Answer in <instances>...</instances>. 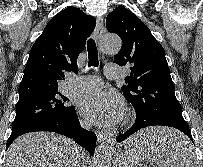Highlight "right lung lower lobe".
<instances>
[{"label":"right lung lower lobe","instance_id":"right-lung-lower-lobe-1","mask_svg":"<svg viewBox=\"0 0 203 167\" xmlns=\"http://www.w3.org/2000/svg\"><path fill=\"white\" fill-rule=\"evenodd\" d=\"M35 131L55 132L73 138V140L84 147L91 156L96 147L95 133L83 129L80 126L76 111H73L71 114L38 122L12 133L7 141L6 148H8L18 136Z\"/></svg>","mask_w":203,"mask_h":167}]
</instances>
